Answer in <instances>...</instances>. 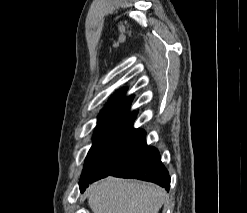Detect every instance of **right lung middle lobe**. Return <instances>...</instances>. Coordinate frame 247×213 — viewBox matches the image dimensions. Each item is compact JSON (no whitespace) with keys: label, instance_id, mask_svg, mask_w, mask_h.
Returning a JSON list of instances; mask_svg holds the SVG:
<instances>
[{"label":"right lung middle lobe","instance_id":"dd1d6c3e","mask_svg":"<svg viewBox=\"0 0 247 213\" xmlns=\"http://www.w3.org/2000/svg\"><path fill=\"white\" fill-rule=\"evenodd\" d=\"M130 112L116 110L99 116L93 145L86 157L80 187L99 174V162L111 151L124 130Z\"/></svg>","mask_w":247,"mask_h":213}]
</instances>
